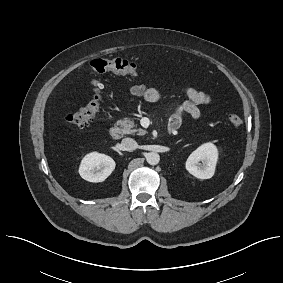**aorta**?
Listing matches in <instances>:
<instances>
[{
  "mask_svg": "<svg viewBox=\"0 0 283 283\" xmlns=\"http://www.w3.org/2000/svg\"><path fill=\"white\" fill-rule=\"evenodd\" d=\"M146 160L150 165H157L160 161V156L156 152H149L146 155Z\"/></svg>",
  "mask_w": 283,
  "mask_h": 283,
  "instance_id": "1",
  "label": "aorta"
}]
</instances>
